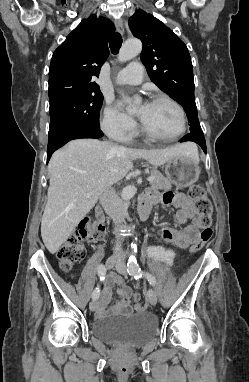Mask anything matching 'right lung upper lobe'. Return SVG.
<instances>
[{
    "instance_id": "obj_1",
    "label": "right lung upper lobe",
    "mask_w": 249,
    "mask_h": 382,
    "mask_svg": "<svg viewBox=\"0 0 249 382\" xmlns=\"http://www.w3.org/2000/svg\"><path fill=\"white\" fill-rule=\"evenodd\" d=\"M115 31L109 19H84L54 51L49 68L50 104L64 98L100 94L94 82L109 55L108 40Z\"/></svg>"
}]
</instances>
